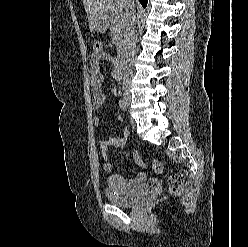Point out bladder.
<instances>
[{"instance_id": "bladder-1", "label": "bladder", "mask_w": 248, "mask_h": 247, "mask_svg": "<svg viewBox=\"0 0 248 247\" xmlns=\"http://www.w3.org/2000/svg\"><path fill=\"white\" fill-rule=\"evenodd\" d=\"M120 179L118 177H110L108 184L110 190L107 193L108 200L116 205L128 207L142 200L150 191L149 185H143L135 189L131 193H127L126 189L119 188Z\"/></svg>"}]
</instances>
